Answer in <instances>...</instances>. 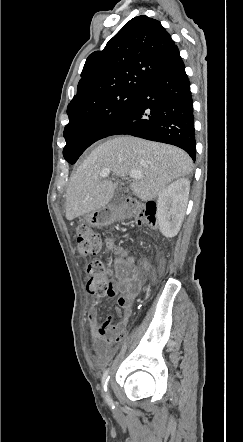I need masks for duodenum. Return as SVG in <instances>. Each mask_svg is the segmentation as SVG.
I'll return each mask as SVG.
<instances>
[{"mask_svg": "<svg viewBox=\"0 0 243 442\" xmlns=\"http://www.w3.org/2000/svg\"><path fill=\"white\" fill-rule=\"evenodd\" d=\"M123 213L126 215H131L136 210L135 202L131 199H126L122 204Z\"/></svg>", "mask_w": 243, "mask_h": 442, "instance_id": "obj_1", "label": "duodenum"}]
</instances>
